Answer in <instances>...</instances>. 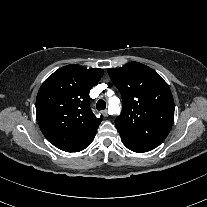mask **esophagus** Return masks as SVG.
I'll return each instance as SVG.
<instances>
[{"mask_svg": "<svg viewBox=\"0 0 207 207\" xmlns=\"http://www.w3.org/2000/svg\"><path fill=\"white\" fill-rule=\"evenodd\" d=\"M102 113H103V115H104L105 117H107L108 114H109V113H108V110H106V109H105Z\"/></svg>", "mask_w": 207, "mask_h": 207, "instance_id": "34e87169", "label": "esophagus"}]
</instances>
